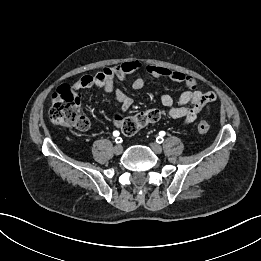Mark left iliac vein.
<instances>
[{"mask_svg":"<svg viewBox=\"0 0 261 261\" xmlns=\"http://www.w3.org/2000/svg\"><path fill=\"white\" fill-rule=\"evenodd\" d=\"M150 147L156 154H160L162 152V147L157 143H151Z\"/></svg>","mask_w":261,"mask_h":261,"instance_id":"4c4485c4","label":"left iliac vein"}]
</instances>
